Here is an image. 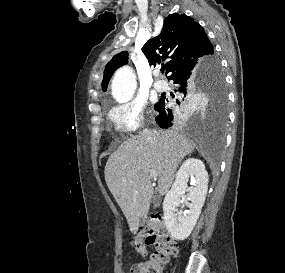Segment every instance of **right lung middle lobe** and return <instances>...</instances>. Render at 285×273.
Here are the masks:
<instances>
[{"label":"right lung middle lobe","instance_id":"1","mask_svg":"<svg viewBox=\"0 0 285 273\" xmlns=\"http://www.w3.org/2000/svg\"><path fill=\"white\" fill-rule=\"evenodd\" d=\"M196 95H205L209 97L216 96L219 98L221 102L220 118L222 124H224L227 119V95L225 90L224 76L221 72L220 62L216 56L210 57V61L205 69L204 80L201 87L192 89L186 96L182 94L181 102H179L183 105H189Z\"/></svg>","mask_w":285,"mask_h":273}]
</instances>
